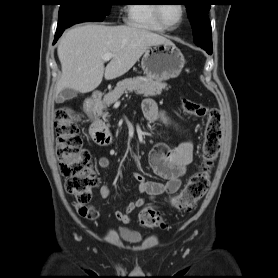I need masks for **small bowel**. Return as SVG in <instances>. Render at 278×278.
Returning <instances> with one entry per match:
<instances>
[{
  "instance_id": "c3829d8e",
  "label": "small bowel",
  "mask_w": 278,
  "mask_h": 278,
  "mask_svg": "<svg viewBox=\"0 0 278 278\" xmlns=\"http://www.w3.org/2000/svg\"><path fill=\"white\" fill-rule=\"evenodd\" d=\"M143 114L145 118L151 122L159 121L167 125H172L176 128L177 125L171 121L167 114L159 109L156 102L152 99H146L143 102ZM194 146L191 139L185 135L175 147H169L164 143L155 144L149 153V163L152 170L160 177L164 178L166 182H156L148 180L141 173H134V178L138 182V188L141 193L147 194L149 199L163 194L176 193L182 184L181 178L185 174L186 167L193 161ZM98 165L102 169H107L110 166V160L102 156L98 159ZM101 197L107 198L111 195V189L103 182L99 187ZM146 204V199L139 198L130 202L125 210L117 211L116 218L128 224L131 221V214L138 208ZM78 213L90 220L97 219L99 212L91 205L74 204Z\"/></svg>"
}]
</instances>
